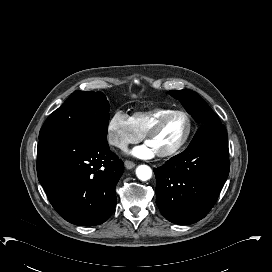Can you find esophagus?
Returning a JSON list of instances; mask_svg holds the SVG:
<instances>
[{
	"mask_svg": "<svg viewBox=\"0 0 272 272\" xmlns=\"http://www.w3.org/2000/svg\"><path fill=\"white\" fill-rule=\"evenodd\" d=\"M124 165L126 169H132L135 167V163L130 160H125Z\"/></svg>",
	"mask_w": 272,
	"mask_h": 272,
	"instance_id": "34e87169",
	"label": "esophagus"
}]
</instances>
